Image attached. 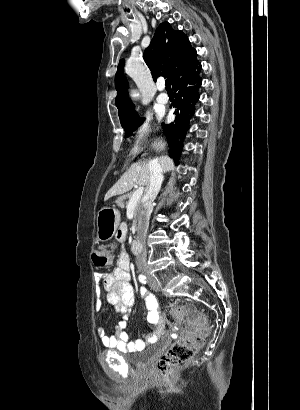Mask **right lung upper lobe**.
Returning a JSON list of instances; mask_svg holds the SVG:
<instances>
[{
	"label": "right lung upper lobe",
	"mask_w": 300,
	"mask_h": 410,
	"mask_svg": "<svg viewBox=\"0 0 300 410\" xmlns=\"http://www.w3.org/2000/svg\"><path fill=\"white\" fill-rule=\"evenodd\" d=\"M143 58L151 70L153 79L165 76L172 83L179 74L194 63L197 53L182 31L173 30L169 23L165 22L156 29L150 45L144 51ZM123 65L124 60H121L115 75L116 106L121 123L136 116L134 105L128 97V82L123 76Z\"/></svg>",
	"instance_id": "obj_1"
}]
</instances>
